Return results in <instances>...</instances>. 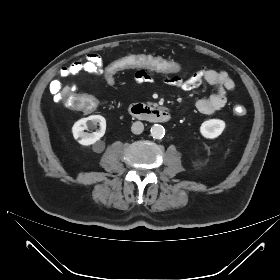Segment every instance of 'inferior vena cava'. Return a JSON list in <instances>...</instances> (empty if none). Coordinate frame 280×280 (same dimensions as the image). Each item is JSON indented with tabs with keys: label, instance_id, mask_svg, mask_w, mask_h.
<instances>
[{
	"label": "inferior vena cava",
	"instance_id": "1",
	"mask_svg": "<svg viewBox=\"0 0 280 280\" xmlns=\"http://www.w3.org/2000/svg\"><path fill=\"white\" fill-rule=\"evenodd\" d=\"M144 130V125L140 121H136L132 124L131 131L134 134H141Z\"/></svg>",
	"mask_w": 280,
	"mask_h": 280
}]
</instances>
